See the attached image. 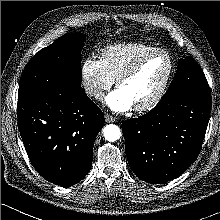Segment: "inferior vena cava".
Instances as JSON below:
<instances>
[{
  "mask_svg": "<svg viewBox=\"0 0 220 220\" xmlns=\"http://www.w3.org/2000/svg\"><path fill=\"white\" fill-rule=\"evenodd\" d=\"M86 92L90 95L95 97L96 99H102L104 97V93L102 90L98 88H87Z\"/></svg>",
  "mask_w": 220,
  "mask_h": 220,
  "instance_id": "inferior-vena-cava-1",
  "label": "inferior vena cava"
}]
</instances>
